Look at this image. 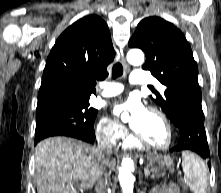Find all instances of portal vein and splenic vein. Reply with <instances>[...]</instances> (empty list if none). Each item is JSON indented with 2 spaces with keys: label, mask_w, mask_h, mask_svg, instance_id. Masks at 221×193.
<instances>
[{
  "label": "portal vein and splenic vein",
  "mask_w": 221,
  "mask_h": 193,
  "mask_svg": "<svg viewBox=\"0 0 221 193\" xmlns=\"http://www.w3.org/2000/svg\"><path fill=\"white\" fill-rule=\"evenodd\" d=\"M145 175L148 176L150 174V170L148 167L145 168V171H144Z\"/></svg>",
  "instance_id": "1"
}]
</instances>
